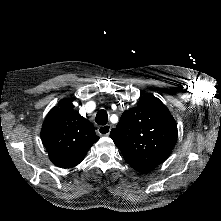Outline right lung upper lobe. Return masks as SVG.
<instances>
[{
  "label": "right lung upper lobe",
  "mask_w": 221,
  "mask_h": 221,
  "mask_svg": "<svg viewBox=\"0 0 221 221\" xmlns=\"http://www.w3.org/2000/svg\"><path fill=\"white\" fill-rule=\"evenodd\" d=\"M73 108L72 100H61L59 107L50 110L41 130L50 160L64 168L78 165L99 139L90 121Z\"/></svg>",
  "instance_id": "cb5924a9"
}]
</instances>
